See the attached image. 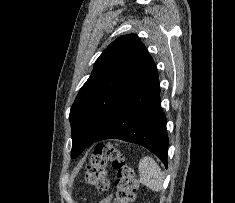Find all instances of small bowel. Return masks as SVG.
I'll return each mask as SVG.
<instances>
[{"instance_id": "obj_1", "label": "small bowel", "mask_w": 235, "mask_h": 203, "mask_svg": "<svg viewBox=\"0 0 235 203\" xmlns=\"http://www.w3.org/2000/svg\"><path fill=\"white\" fill-rule=\"evenodd\" d=\"M99 203H111V197H108V198L102 200V201L99 202Z\"/></svg>"}]
</instances>
